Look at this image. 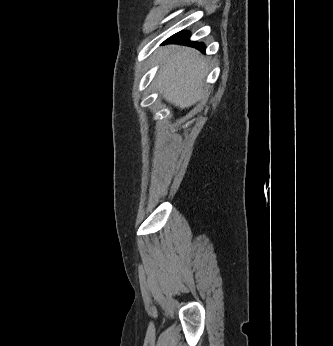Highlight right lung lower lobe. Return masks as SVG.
<instances>
[{"mask_svg":"<svg viewBox=\"0 0 333 346\" xmlns=\"http://www.w3.org/2000/svg\"><path fill=\"white\" fill-rule=\"evenodd\" d=\"M190 34L188 31H182L179 32L173 36H171L169 39L165 41V43H180V44H187L191 45L197 49H199L202 52H205V46L203 43H197L194 41H190Z\"/></svg>","mask_w":333,"mask_h":346,"instance_id":"right-lung-lower-lobe-1","label":"right lung lower lobe"}]
</instances>
